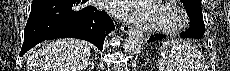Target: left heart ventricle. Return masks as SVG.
I'll return each instance as SVG.
<instances>
[{
  "label": "left heart ventricle",
  "instance_id": "1",
  "mask_svg": "<svg viewBox=\"0 0 230 71\" xmlns=\"http://www.w3.org/2000/svg\"><path fill=\"white\" fill-rule=\"evenodd\" d=\"M155 10H156L155 21L171 22L174 20V17L171 13L160 10L158 7H156V5H155Z\"/></svg>",
  "mask_w": 230,
  "mask_h": 71
}]
</instances>
